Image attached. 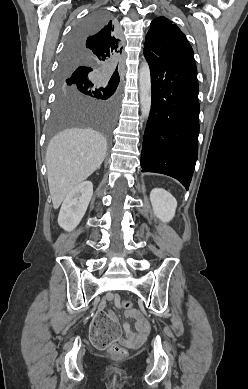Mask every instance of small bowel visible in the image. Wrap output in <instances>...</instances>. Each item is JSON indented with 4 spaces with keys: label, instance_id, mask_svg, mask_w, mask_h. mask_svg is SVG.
Masks as SVG:
<instances>
[{
    "label": "small bowel",
    "instance_id": "c3829d8e",
    "mask_svg": "<svg viewBox=\"0 0 248 389\" xmlns=\"http://www.w3.org/2000/svg\"><path fill=\"white\" fill-rule=\"evenodd\" d=\"M106 301H114L118 306L120 305V297L116 293H107L105 295L103 302L100 304L101 310L105 308ZM109 315L111 318L117 319L115 314L110 313ZM124 315L126 319H132L134 321V327L126 321L123 324V329L126 337L120 338V340L129 347L137 346L141 344L147 336L148 326L140 312L136 310L125 312Z\"/></svg>",
    "mask_w": 248,
    "mask_h": 389
}]
</instances>
